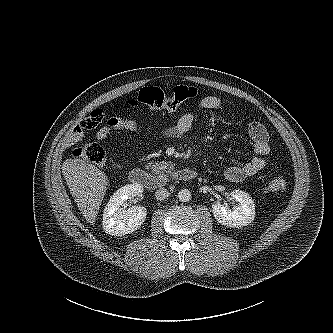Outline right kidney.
Returning <instances> with one entry per match:
<instances>
[{"mask_svg":"<svg viewBox=\"0 0 333 333\" xmlns=\"http://www.w3.org/2000/svg\"><path fill=\"white\" fill-rule=\"evenodd\" d=\"M143 192L139 184H128L118 189L110 198L103 212V229L107 234L124 236L141 227L147 215L143 206L122 208L125 201Z\"/></svg>","mask_w":333,"mask_h":333,"instance_id":"obj_1","label":"right kidney"}]
</instances>
